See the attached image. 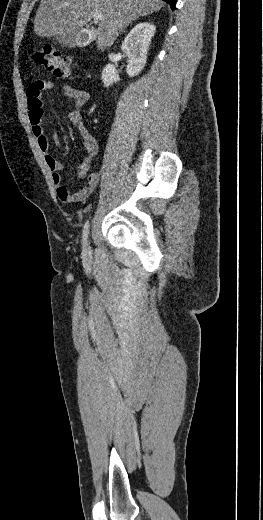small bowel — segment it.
<instances>
[{
    "mask_svg": "<svg viewBox=\"0 0 263 520\" xmlns=\"http://www.w3.org/2000/svg\"><path fill=\"white\" fill-rule=\"evenodd\" d=\"M54 87L55 84L47 80H35L28 86L26 96L29 121L39 149L44 154L45 164L51 172L59 199L65 203L82 202L92 195L99 183V174L97 172L89 173L92 159L98 152V142L84 125L79 111V108L83 107L89 101L90 95L87 91L77 89L70 85H61L59 87L61 93L72 100L76 107L75 110L69 113V121L79 130L84 147L88 153V156L77 167V174L79 178L86 179V185L78 191L73 192L67 186L63 185L62 176L60 174L63 167L62 163L49 154V140L43 129L44 110L42 94L44 91ZM54 139L57 140L56 135H54Z\"/></svg>",
    "mask_w": 263,
    "mask_h": 520,
    "instance_id": "obj_1",
    "label": "small bowel"
}]
</instances>
